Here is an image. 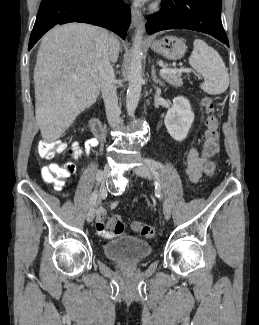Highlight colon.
<instances>
[{
    "instance_id": "obj_1",
    "label": "colon",
    "mask_w": 259,
    "mask_h": 325,
    "mask_svg": "<svg viewBox=\"0 0 259 325\" xmlns=\"http://www.w3.org/2000/svg\"><path fill=\"white\" fill-rule=\"evenodd\" d=\"M203 106L207 113V128L205 132L203 154L205 157H211L218 151L219 123L217 116L215 115L214 105L209 98L203 100ZM79 151L80 149L76 144L68 147L61 140L42 141L38 145L39 155L46 159L52 158L55 154L60 152H67L73 157H77ZM215 169L216 166L212 161L206 163L205 173L207 175H212L215 172ZM74 170L75 166L72 162H67L63 165L54 164L43 171L42 177L46 183L53 185L56 190H60L66 179L74 172ZM131 227L144 238L150 239L155 235V228L152 225L140 221H134L132 222ZM107 230L112 234H121L124 230V223L121 217L118 215L112 216L107 222Z\"/></svg>"
}]
</instances>
